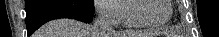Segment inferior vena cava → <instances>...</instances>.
Instances as JSON below:
<instances>
[{
	"label": "inferior vena cava",
	"instance_id": "obj_1",
	"mask_svg": "<svg viewBox=\"0 0 219 37\" xmlns=\"http://www.w3.org/2000/svg\"><path fill=\"white\" fill-rule=\"evenodd\" d=\"M92 30L94 37H112L113 28L107 10L100 9L98 11V16L93 22Z\"/></svg>",
	"mask_w": 219,
	"mask_h": 37
}]
</instances>
